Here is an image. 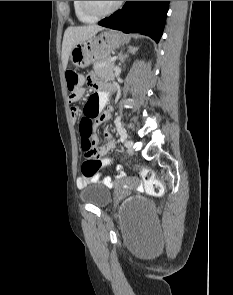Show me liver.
<instances>
[{"label":"liver","mask_w":233,"mask_h":295,"mask_svg":"<svg viewBox=\"0 0 233 295\" xmlns=\"http://www.w3.org/2000/svg\"><path fill=\"white\" fill-rule=\"evenodd\" d=\"M103 30L99 25H86L68 27L64 33L62 43V65L63 70H66L69 56L72 48L79 42H82L92 36L96 35L99 31Z\"/></svg>","instance_id":"obj_1"}]
</instances>
